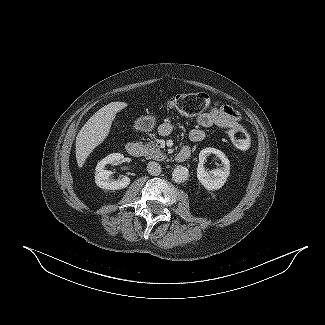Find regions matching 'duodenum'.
I'll use <instances>...</instances> for the list:
<instances>
[{"label":"duodenum","mask_w":325,"mask_h":325,"mask_svg":"<svg viewBox=\"0 0 325 325\" xmlns=\"http://www.w3.org/2000/svg\"><path fill=\"white\" fill-rule=\"evenodd\" d=\"M126 151L130 156L138 157L142 153V147L138 142H129L126 145ZM190 155V148L185 146L174 156V160L176 162H184L190 157Z\"/></svg>","instance_id":"1"}]
</instances>
